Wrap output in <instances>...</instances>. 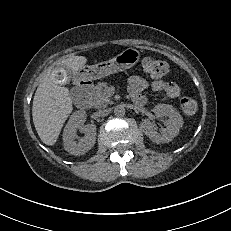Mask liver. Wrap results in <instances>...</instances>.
Instances as JSON below:
<instances>
[{
    "instance_id": "liver-1",
    "label": "liver",
    "mask_w": 231,
    "mask_h": 231,
    "mask_svg": "<svg viewBox=\"0 0 231 231\" xmlns=\"http://www.w3.org/2000/svg\"><path fill=\"white\" fill-rule=\"evenodd\" d=\"M86 62L84 56H72L62 60L60 65L75 74ZM72 110L69 89L58 85L54 71L49 72L40 82L32 106L33 123L44 144L52 146L56 143Z\"/></svg>"
}]
</instances>
